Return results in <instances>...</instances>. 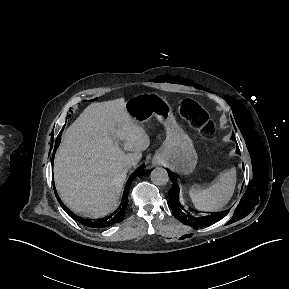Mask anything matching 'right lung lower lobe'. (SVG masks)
I'll return each mask as SVG.
<instances>
[{
    "label": "right lung lower lobe",
    "mask_w": 289,
    "mask_h": 289,
    "mask_svg": "<svg viewBox=\"0 0 289 289\" xmlns=\"http://www.w3.org/2000/svg\"><path fill=\"white\" fill-rule=\"evenodd\" d=\"M60 143V139L59 137L56 140L55 143V150L58 148ZM54 154L53 153V159H54ZM53 161V160H52ZM148 171L144 170L143 167H139L137 168L133 174H131V176L129 177L126 186L124 188V193H123V198H122V203L121 206H119L111 215L101 218V219H97V220H87L81 217H78L76 215H74L60 200L59 196L57 195L56 192V197L59 201V203L61 204L62 208L69 214L71 215V217H73L75 220L79 221L81 224L86 225L88 227H93V228H104V227H108L111 226L115 223L121 222L124 218V212H125V208L128 204V192H129V188L131 186V183L133 182V180L142 174L147 173Z\"/></svg>",
    "instance_id": "1"
}]
</instances>
